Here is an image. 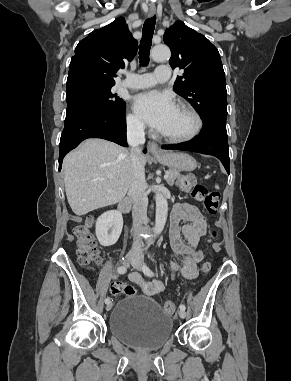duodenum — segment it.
<instances>
[{
	"label": "duodenum",
	"mask_w": 291,
	"mask_h": 381,
	"mask_svg": "<svg viewBox=\"0 0 291 381\" xmlns=\"http://www.w3.org/2000/svg\"><path fill=\"white\" fill-rule=\"evenodd\" d=\"M130 205H131V200L127 198L120 202L118 208L120 211H126L127 209L130 208Z\"/></svg>",
	"instance_id": "1"
}]
</instances>
